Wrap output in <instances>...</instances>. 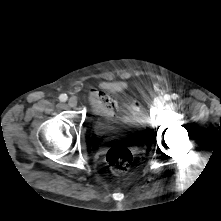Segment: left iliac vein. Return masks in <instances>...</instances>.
Segmentation results:
<instances>
[{"label":"left iliac vein","instance_id":"obj_1","mask_svg":"<svg viewBox=\"0 0 221 221\" xmlns=\"http://www.w3.org/2000/svg\"><path fill=\"white\" fill-rule=\"evenodd\" d=\"M163 103H164L163 99H157L155 101V106L159 108V107H161L163 105Z\"/></svg>","mask_w":221,"mask_h":221}]
</instances>
